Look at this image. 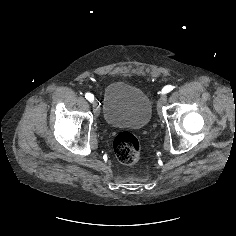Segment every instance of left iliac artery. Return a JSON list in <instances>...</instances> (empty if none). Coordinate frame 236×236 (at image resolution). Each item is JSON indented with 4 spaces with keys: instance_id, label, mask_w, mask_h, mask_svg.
Masks as SVG:
<instances>
[{
    "instance_id": "44dca946",
    "label": "left iliac artery",
    "mask_w": 236,
    "mask_h": 236,
    "mask_svg": "<svg viewBox=\"0 0 236 236\" xmlns=\"http://www.w3.org/2000/svg\"><path fill=\"white\" fill-rule=\"evenodd\" d=\"M173 88H174L173 86L167 85V86H165V87L162 89V93H163V94H166V93L172 91Z\"/></svg>"
}]
</instances>
